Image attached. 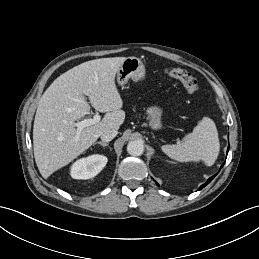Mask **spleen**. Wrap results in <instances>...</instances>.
<instances>
[{"label": "spleen", "mask_w": 259, "mask_h": 259, "mask_svg": "<svg viewBox=\"0 0 259 259\" xmlns=\"http://www.w3.org/2000/svg\"><path fill=\"white\" fill-rule=\"evenodd\" d=\"M220 149L218 132L210 118L199 121L193 131L176 145H164L162 151L179 162H204L211 166L216 161Z\"/></svg>", "instance_id": "obj_1"}]
</instances>
